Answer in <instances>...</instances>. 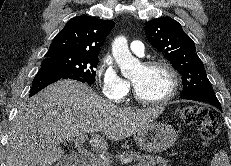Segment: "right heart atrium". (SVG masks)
Here are the masks:
<instances>
[{
    "label": "right heart atrium",
    "mask_w": 231,
    "mask_h": 166,
    "mask_svg": "<svg viewBox=\"0 0 231 166\" xmlns=\"http://www.w3.org/2000/svg\"><path fill=\"white\" fill-rule=\"evenodd\" d=\"M97 79L103 95L111 101H121L130 91L129 82L119 74L109 56L101 60L97 68Z\"/></svg>",
    "instance_id": "obj_1"
}]
</instances>
